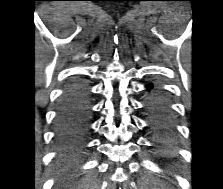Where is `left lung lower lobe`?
Masks as SVG:
<instances>
[{
    "instance_id": "0a47b994",
    "label": "left lung lower lobe",
    "mask_w": 223,
    "mask_h": 189,
    "mask_svg": "<svg viewBox=\"0 0 223 189\" xmlns=\"http://www.w3.org/2000/svg\"><path fill=\"white\" fill-rule=\"evenodd\" d=\"M145 108L152 125H158L168 130L172 128V116L169 101L163 90L153 84L146 85Z\"/></svg>"
}]
</instances>
